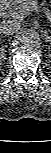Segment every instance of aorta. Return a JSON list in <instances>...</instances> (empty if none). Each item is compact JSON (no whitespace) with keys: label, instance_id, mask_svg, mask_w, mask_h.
Masks as SVG:
<instances>
[{"label":"aorta","instance_id":"obj_1","mask_svg":"<svg viewBox=\"0 0 51 153\" xmlns=\"http://www.w3.org/2000/svg\"><path fill=\"white\" fill-rule=\"evenodd\" d=\"M40 40V35L35 29H26L20 35V41L26 46H36Z\"/></svg>","mask_w":51,"mask_h":153}]
</instances>
